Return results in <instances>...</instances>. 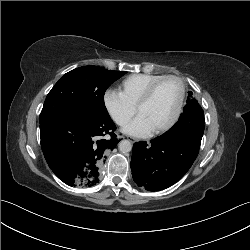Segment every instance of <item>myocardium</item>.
<instances>
[{
  "mask_svg": "<svg viewBox=\"0 0 250 250\" xmlns=\"http://www.w3.org/2000/svg\"><path fill=\"white\" fill-rule=\"evenodd\" d=\"M169 79H173L176 80L177 82H179L180 84V95H179V99L177 102V106L176 109L172 115V117L170 118V120L164 124L163 126L152 130L151 131V135H159L162 134L166 131H168L170 128L173 127V125L177 122L181 111H182V107H183V103H184V99H185V94H186V87H185V83L183 81L182 78H180L179 76L176 75H165L161 78H159L158 80L154 81L143 93V95L140 97V99L138 100L137 104H136V111L139 112L140 108L146 104L153 96L155 90L157 89V87L164 81L169 80Z\"/></svg>",
  "mask_w": 250,
  "mask_h": 250,
  "instance_id": "myocardium-1",
  "label": "myocardium"
}]
</instances>
